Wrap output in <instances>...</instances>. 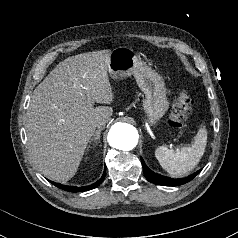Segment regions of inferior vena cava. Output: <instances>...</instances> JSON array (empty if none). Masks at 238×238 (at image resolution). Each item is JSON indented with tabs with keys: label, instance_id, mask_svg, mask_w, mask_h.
Instances as JSON below:
<instances>
[{
	"label": "inferior vena cava",
	"instance_id": "1",
	"mask_svg": "<svg viewBox=\"0 0 238 238\" xmlns=\"http://www.w3.org/2000/svg\"><path fill=\"white\" fill-rule=\"evenodd\" d=\"M107 122H108V120H106V119L100 120L97 123V127L98 128L104 127Z\"/></svg>",
	"mask_w": 238,
	"mask_h": 238
}]
</instances>
